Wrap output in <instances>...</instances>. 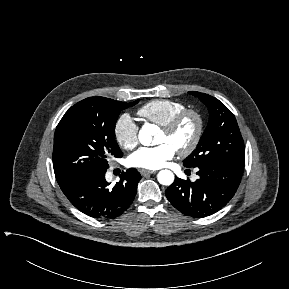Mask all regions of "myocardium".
<instances>
[{"label":"myocardium","mask_w":289,"mask_h":289,"mask_svg":"<svg viewBox=\"0 0 289 289\" xmlns=\"http://www.w3.org/2000/svg\"><path fill=\"white\" fill-rule=\"evenodd\" d=\"M189 117L195 120L196 129H195L194 136L192 140L190 141V143L187 146L177 150V153L182 157L190 155L197 148V146L199 145L201 141V138L204 133V127H205V122H204V118L202 114L195 109L186 108L182 110L181 112H179L178 114H176L168 123L161 126V130L164 133L171 135Z\"/></svg>","instance_id":"1"}]
</instances>
